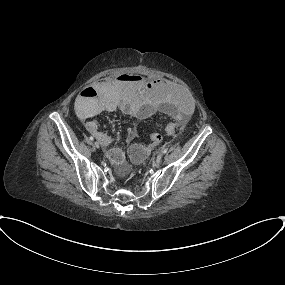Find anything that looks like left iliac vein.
Instances as JSON below:
<instances>
[{"instance_id": "obj_1", "label": "left iliac vein", "mask_w": 285, "mask_h": 285, "mask_svg": "<svg viewBox=\"0 0 285 285\" xmlns=\"http://www.w3.org/2000/svg\"><path fill=\"white\" fill-rule=\"evenodd\" d=\"M162 157H163V154L160 153L157 155V158H156V164H160L161 160H162Z\"/></svg>"}]
</instances>
